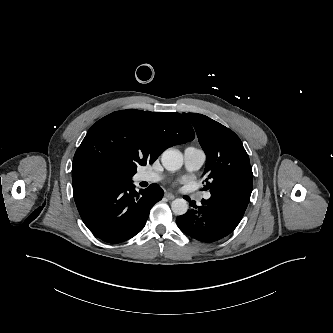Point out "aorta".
Returning <instances> with one entry per match:
<instances>
[{
  "label": "aorta",
  "mask_w": 333,
  "mask_h": 333,
  "mask_svg": "<svg viewBox=\"0 0 333 333\" xmlns=\"http://www.w3.org/2000/svg\"><path fill=\"white\" fill-rule=\"evenodd\" d=\"M161 162L168 171H177L183 165L182 153L176 149H167L163 152ZM171 209L176 215H183L188 210L187 201L183 198L175 199L171 204Z\"/></svg>",
  "instance_id": "762f6f07"
}]
</instances>
